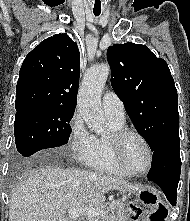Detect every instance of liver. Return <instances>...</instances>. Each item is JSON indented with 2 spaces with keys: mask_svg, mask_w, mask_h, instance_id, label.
<instances>
[{
  "mask_svg": "<svg viewBox=\"0 0 190 221\" xmlns=\"http://www.w3.org/2000/svg\"><path fill=\"white\" fill-rule=\"evenodd\" d=\"M140 188L101 173L53 166L34 168L22 176L11 193L9 221H70L66 216L70 208H99L110 190Z\"/></svg>",
  "mask_w": 190,
  "mask_h": 221,
  "instance_id": "6515ba94",
  "label": "liver"
}]
</instances>
